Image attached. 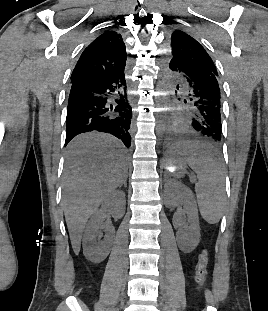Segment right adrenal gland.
<instances>
[{
  "instance_id": "right-adrenal-gland-1",
  "label": "right adrenal gland",
  "mask_w": 268,
  "mask_h": 311,
  "mask_svg": "<svg viewBox=\"0 0 268 311\" xmlns=\"http://www.w3.org/2000/svg\"><path fill=\"white\" fill-rule=\"evenodd\" d=\"M127 178H124V180L120 183L119 187L121 188L122 185H124V187H127Z\"/></svg>"
}]
</instances>
